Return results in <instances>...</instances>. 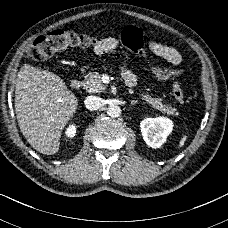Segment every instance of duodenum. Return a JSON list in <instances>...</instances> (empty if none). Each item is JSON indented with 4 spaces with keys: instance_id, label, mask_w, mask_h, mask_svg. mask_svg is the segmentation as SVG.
Masks as SVG:
<instances>
[{
    "instance_id": "duodenum-1",
    "label": "duodenum",
    "mask_w": 228,
    "mask_h": 228,
    "mask_svg": "<svg viewBox=\"0 0 228 228\" xmlns=\"http://www.w3.org/2000/svg\"><path fill=\"white\" fill-rule=\"evenodd\" d=\"M126 85L131 87L134 85V82L131 80H127ZM70 86L74 90H79L82 86V80L78 77H75L70 81Z\"/></svg>"
}]
</instances>
